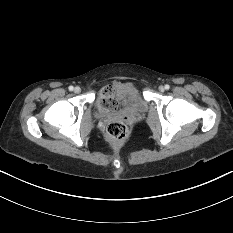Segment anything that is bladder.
Listing matches in <instances>:
<instances>
[{"mask_svg": "<svg viewBox=\"0 0 233 233\" xmlns=\"http://www.w3.org/2000/svg\"><path fill=\"white\" fill-rule=\"evenodd\" d=\"M108 95L116 100L117 105L114 108H106L99 100L98 104L102 112L118 111L126 114H141L147 111L146 100L139 90L129 82H116Z\"/></svg>", "mask_w": 233, "mask_h": 233, "instance_id": "bladder-1", "label": "bladder"}]
</instances>
